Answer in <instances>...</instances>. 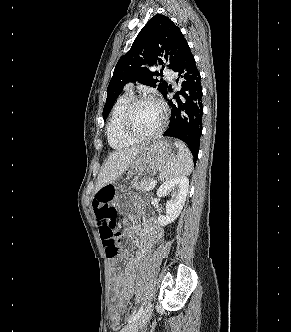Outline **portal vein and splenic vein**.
Segmentation results:
<instances>
[{
  "instance_id": "1",
  "label": "portal vein and splenic vein",
  "mask_w": 291,
  "mask_h": 332,
  "mask_svg": "<svg viewBox=\"0 0 291 332\" xmlns=\"http://www.w3.org/2000/svg\"><path fill=\"white\" fill-rule=\"evenodd\" d=\"M156 185V181L155 180H152L149 184V187H148V190H152Z\"/></svg>"
}]
</instances>
